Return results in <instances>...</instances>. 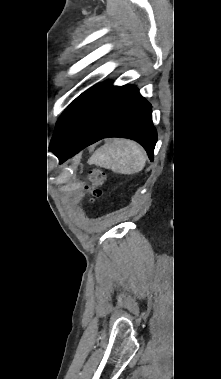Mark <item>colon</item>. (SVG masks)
Returning a JSON list of instances; mask_svg holds the SVG:
<instances>
[{"mask_svg": "<svg viewBox=\"0 0 221 379\" xmlns=\"http://www.w3.org/2000/svg\"><path fill=\"white\" fill-rule=\"evenodd\" d=\"M90 183L86 185V190L89 194L90 200H94L101 195L100 186L105 181V173L99 169H93L89 174Z\"/></svg>", "mask_w": 221, "mask_h": 379, "instance_id": "colon-1", "label": "colon"}]
</instances>
